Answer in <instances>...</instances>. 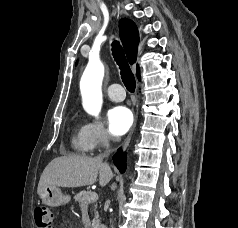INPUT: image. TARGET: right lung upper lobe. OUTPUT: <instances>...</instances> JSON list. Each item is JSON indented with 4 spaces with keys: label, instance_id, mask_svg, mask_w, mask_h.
<instances>
[{
    "label": "right lung upper lobe",
    "instance_id": "1",
    "mask_svg": "<svg viewBox=\"0 0 238 228\" xmlns=\"http://www.w3.org/2000/svg\"><path fill=\"white\" fill-rule=\"evenodd\" d=\"M120 38L130 64H133L137 55L139 34L135 23L127 18H123L119 23ZM137 77L140 79L139 66L137 65Z\"/></svg>",
    "mask_w": 238,
    "mask_h": 228
}]
</instances>
